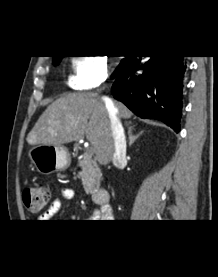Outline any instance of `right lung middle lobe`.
<instances>
[{
    "label": "right lung middle lobe",
    "instance_id": "obj_1",
    "mask_svg": "<svg viewBox=\"0 0 218 277\" xmlns=\"http://www.w3.org/2000/svg\"><path fill=\"white\" fill-rule=\"evenodd\" d=\"M62 57H63V56H61V57H59V58H57V59H54V60H53V64H54V65H58V64L60 63ZM128 59H129V57H126L125 59H123V60L121 61V63L127 61ZM121 63H120V64H121ZM113 76H114V74H113Z\"/></svg>",
    "mask_w": 218,
    "mask_h": 277
}]
</instances>
